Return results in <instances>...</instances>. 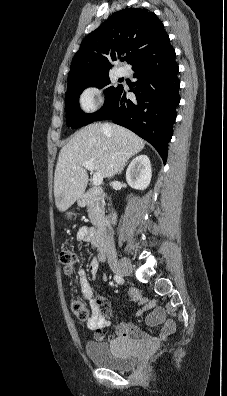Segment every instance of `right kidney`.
Returning <instances> with one entry per match:
<instances>
[{"instance_id":"ca27d5eb","label":"right kidney","mask_w":227,"mask_h":396,"mask_svg":"<svg viewBox=\"0 0 227 396\" xmlns=\"http://www.w3.org/2000/svg\"><path fill=\"white\" fill-rule=\"evenodd\" d=\"M151 163L147 155L137 156L129 164L126 171V181L130 187L144 190L151 181Z\"/></svg>"}]
</instances>
